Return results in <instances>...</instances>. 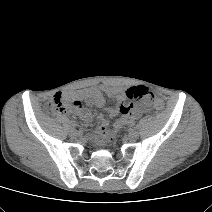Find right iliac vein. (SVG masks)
Masks as SVG:
<instances>
[{"label": "right iliac vein", "instance_id": "63e3f726", "mask_svg": "<svg viewBox=\"0 0 212 212\" xmlns=\"http://www.w3.org/2000/svg\"><path fill=\"white\" fill-rule=\"evenodd\" d=\"M70 135H71V136H76V135H77V131H76L75 129L72 128V129L70 130Z\"/></svg>", "mask_w": 212, "mask_h": 212}]
</instances>
